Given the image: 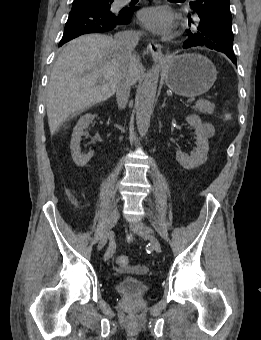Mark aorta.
<instances>
[{
	"label": "aorta",
	"mask_w": 261,
	"mask_h": 340,
	"mask_svg": "<svg viewBox=\"0 0 261 340\" xmlns=\"http://www.w3.org/2000/svg\"><path fill=\"white\" fill-rule=\"evenodd\" d=\"M160 67L152 66L146 75L136 99V124L140 135L144 136L150 127V119L155 102Z\"/></svg>",
	"instance_id": "obj_1"
}]
</instances>
